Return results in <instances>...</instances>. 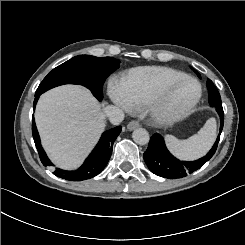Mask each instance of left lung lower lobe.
I'll use <instances>...</instances> for the list:
<instances>
[{
	"mask_svg": "<svg viewBox=\"0 0 245 245\" xmlns=\"http://www.w3.org/2000/svg\"><path fill=\"white\" fill-rule=\"evenodd\" d=\"M200 77V75L198 74ZM207 87L209 93V103L212 107L216 108L220 116V133L223 129L224 123V112L222 108L221 97L210 79L207 80ZM220 133L216 142L214 143L212 149L204 157L195 160V161H180L175 158L166 148L163 137L155 133L149 142L148 148L145 151L143 157L144 160L154 174L169 178V179H178L186 177L187 175L198 170L203 166L215 153L218 142L220 139Z\"/></svg>",
	"mask_w": 245,
	"mask_h": 245,
	"instance_id": "left-lung-lower-lobe-1",
	"label": "left lung lower lobe"
}]
</instances>
